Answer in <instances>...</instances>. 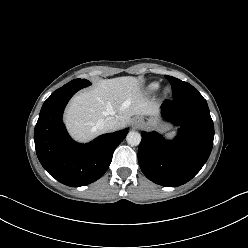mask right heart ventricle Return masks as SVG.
Returning <instances> with one entry per match:
<instances>
[{
  "label": "right heart ventricle",
  "instance_id": "right-heart-ventricle-1",
  "mask_svg": "<svg viewBox=\"0 0 248 248\" xmlns=\"http://www.w3.org/2000/svg\"><path fill=\"white\" fill-rule=\"evenodd\" d=\"M158 88H159V84L157 82H152L147 85L146 92L148 94H153L158 90Z\"/></svg>",
  "mask_w": 248,
  "mask_h": 248
}]
</instances>
